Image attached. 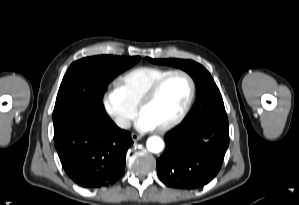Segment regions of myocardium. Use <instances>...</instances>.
<instances>
[{
  "mask_svg": "<svg viewBox=\"0 0 299 205\" xmlns=\"http://www.w3.org/2000/svg\"><path fill=\"white\" fill-rule=\"evenodd\" d=\"M176 75H181L183 77H185L190 85V93L188 96V99L183 107V109L181 110V112L171 121L156 127V129L158 131H167L170 130L174 127H176L177 125H179L187 116V114L189 113L195 96H196V83L193 79V77L186 71L184 70H172L170 72H168L167 74L163 75L162 77H160L159 79H157L148 89L147 91L143 94L142 98L140 99L138 105H137V109L138 112L141 113L143 108L146 107L153 99L154 97L157 95L158 91L160 90V88L163 86V84L171 77L176 76Z\"/></svg>",
  "mask_w": 299,
  "mask_h": 205,
  "instance_id": "f54148a6",
  "label": "myocardium"
}]
</instances>
